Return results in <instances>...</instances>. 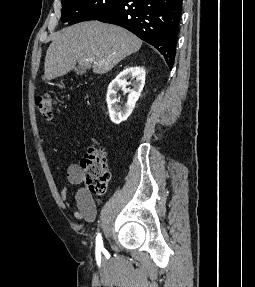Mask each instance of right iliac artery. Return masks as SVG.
Listing matches in <instances>:
<instances>
[{"label": "right iliac artery", "mask_w": 255, "mask_h": 287, "mask_svg": "<svg viewBox=\"0 0 255 287\" xmlns=\"http://www.w3.org/2000/svg\"><path fill=\"white\" fill-rule=\"evenodd\" d=\"M101 250H103L102 236L98 234L96 237V251L100 252Z\"/></svg>", "instance_id": "obj_1"}]
</instances>
